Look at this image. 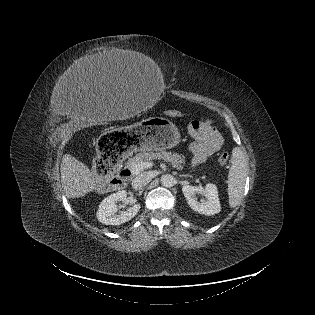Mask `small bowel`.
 <instances>
[{
	"label": "small bowel",
	"mask_w": 315,
	"mask_h": 315,
	"mask_svg": "<svg viewBox=\"0 0 315 315\" xmlns=\"http://www.w3.org/2000/svg\"><path fill=\"white\" fill-rule=\"evenodd\" d=\"M188 130L193 138V142L188 148L192 155V166H198L205 162L208 157L217 152L223 145L220 133L209 120L192 121Z\"/></svg>",
	"instance_id": "1"
}]
</instances>
